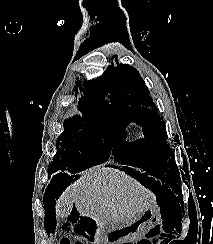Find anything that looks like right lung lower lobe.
<instances>
[{"instance_id":"obj_1","label":"right lung lower lobe","mask_w":213,"mask_h":244,"mask_svg":"<svg viewBox=\"0 0 213 244\" xmlns=\"http://www.w3.org/2000/svg\"><path fill=\"white\" fill-rule=\"evenodd\" d=\"M68 183V179L64 176V175H60L58 173H53V178L51 180L50 185L47 188V192L45 194V198H44V206L45 205V200H46V196L47 193L49 192H55L56 189H60V187L65 186Z\"/></svg>"}]
</instances>
